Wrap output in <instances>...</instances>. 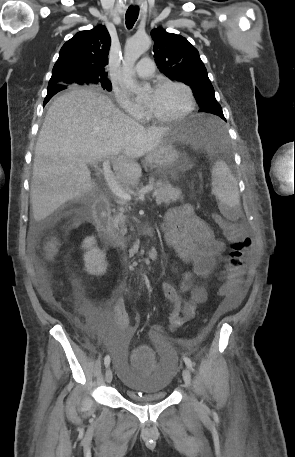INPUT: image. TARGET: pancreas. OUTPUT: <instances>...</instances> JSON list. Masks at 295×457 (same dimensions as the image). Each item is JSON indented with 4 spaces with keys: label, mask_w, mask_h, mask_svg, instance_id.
Here are the masks:
<instances>
[{
    "label": "pancreas",
    "mask_w": 295,
    "mask_h": 457,
    "mask_svg": "<svg viewBox=\"0 0 295 457\" xmlns=\"http://www.w3.org/2000/svg\"><path fill=\"white\" fill-rule=\"evenodd\" d=\"M149 185L153 186V196L156 198L157 204H169L181 198V190L173 188L168 181H150ZM120 205L121 207L117 212L114 210L116 215L112 218V223L117 230L121 227V232L125 233L126 216L124 215V212L126 211L127 203L120 201Z\"/></svg>",
    "instance_id": "cf45deb5"
}]
</instances>
